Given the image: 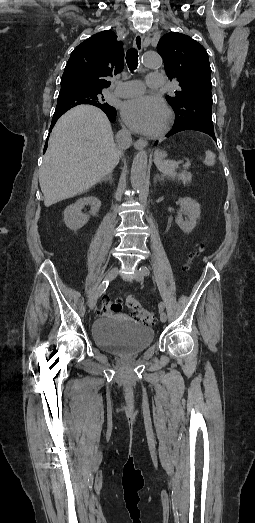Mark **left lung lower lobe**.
Instances as JSON below:
<instances>
[{
	"label": "left lung lower lobe",
	"mask_w": 255,
	"mask_h": 523,
	"mask_svg": "<svg viewBox=\"0 0 255 523\" xmlns=\"http://www.w3.org/2000/svg\"><path fill=\"white\" fill-rule=\"evenodd\" d=\"M180 129H194V130H198V132H205V130H202L201 127H174L172 129H169V131L167 132V135L169 137H172L173 135H176V131H178ZM211 140H216V137H211ZM155 144H158V141H155Z\"/></svg>",
	"instance_id": "obj_1"
}]
</instances>
